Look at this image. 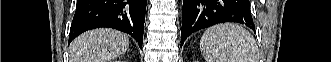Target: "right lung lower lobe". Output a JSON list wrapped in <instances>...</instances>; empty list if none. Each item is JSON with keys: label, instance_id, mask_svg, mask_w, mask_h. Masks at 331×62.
Masks as SVG:
<instances>
[{"label": "right lung lower lobe", "instance_id": "right-lung-lower-lobe-1", "mask_svg": "<svg viewBox=\"0 0 331 62\" xmlns=\"http://www.w3.org/2000/svg\"><path fill=\"white\" fill-rule=\"evenodd\" d=\"M147 0H77L69 43L84 31L108 27L130 34L142 47Z\"/></svg>", "mask_w": 331, "mask_h": 62}]
</instances>
